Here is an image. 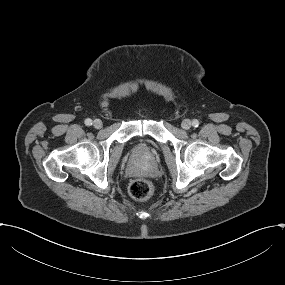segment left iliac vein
<instances>
[{
	"instance_id": "4c4485c4",
	"label": "left iliac vein",
	"mask_w": 285,
	"mask_h": 285,
	"mask_svg": "<svg viewBox=\"0 0 285 285\" xmlns=\"http://www.w3.org/2000/svg\"><path fill=\"white\" fill-rule=\"evenodd\" d=\"M192 126V122L191 120L189 119H185L182 121V127L185 129V130H189Z\"/></svg>"
}]
</instances>
